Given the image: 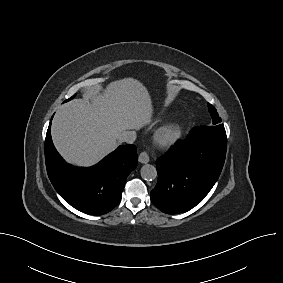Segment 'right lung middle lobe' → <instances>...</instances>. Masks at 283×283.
<instances>
[{
  "label": "right lung middle lobe",
  "mask_w": 283,
  "mask_h": 283,
  "mask_svg": "<svg viewBox=\"0 0 283 283\" xmlns=\"http://www.w3.org/2000/svg\"><path fill=\"white\" fill-rule=\"evenodd\" d=\"M75 95H76V94H75ZM75 95H74V96H75ZM74 96H72L70 99H72ZM70 99H68V100H70ZM68 100H66V101H68ZM66 101H65V102H66Z\"/></svg>",
  "instance_id": "obj_1"
}]
</instances>
